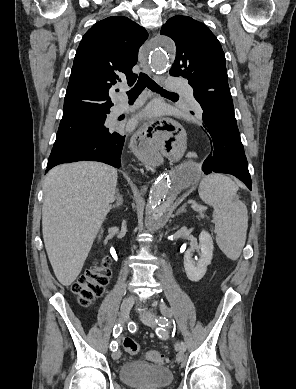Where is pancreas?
Returning <instances> with one entry per match:
<instances>
[{"mask_svg":"<svg viewBox=\"0 0 296 389\" xmlns=\"http://www.w3.org/2000/svg\"><path fill=\"white\" fill-rule=\"evenodd\" d=\"M202 210H203V208L198 206V211L201 212Z\"/></svg>","mask_w":296,"mask_h":389,"instance_id":"pancreas-1","label":"pancreas"}]
</instances>
